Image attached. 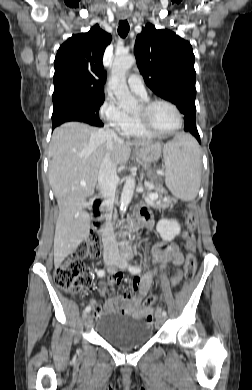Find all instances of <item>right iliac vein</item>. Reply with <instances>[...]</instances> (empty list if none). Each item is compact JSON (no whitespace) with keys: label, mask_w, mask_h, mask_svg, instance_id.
<instances>
[{"label":"right iliac vein","mask_w":252,"mask_h":390,"mask_svg":"<svg viewBox=\"0 0 252 390\" xmlns=\"http://www.w3.org/2000/svg\"><path fill=\"white\" fill-rule=\"evenodd\" d=\"M104 261H105V264L107 266H111L116 261V257L115 256H108L104 259ZM83 318L85 320V325H90L91 316L89 314H84Z\"/></svg>","instance_id":"1"}]
</instances>
